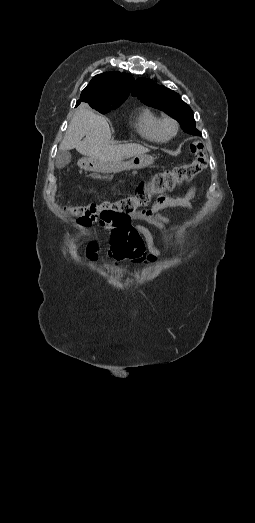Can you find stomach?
Listing matches in <instances>:
<instances>
[{
  "instance_id": "obj_1",
  "label": "stomach",
  "mask_w": 255,
  "mask_h": 523,
  "mask_svg": "<svg viewBox=\"0 0 255 523\" xmlns=\"http://www.w3.org/2000/svg\"><path fill=\"white\" fill-rule=\"evenodd\" d=\"M153 158L151 156H135L130 162L122 164L121 170H141V168H147L152 164ZM110 173L112 175H117L119 173V168L117 166H112L110 168Z\"/></svg>"
}]
</instances>
